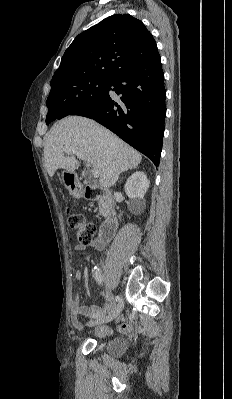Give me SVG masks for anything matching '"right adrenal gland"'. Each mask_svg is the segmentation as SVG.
I'll return each mask as SVG.
<instances>
[{
  "mask_svg": "<svg viewBox=\"0 0 232 399\" xmlns=\"http://www.w3.org/2000/svg\"><path fill=\"white\" fill-rule=\"evenodd\" d=\"M131 170H132V168H131ZM133 170H136V168H133Z\"/></svg>",
  "mask_w": 232,
  "mask_h": 399,
  "instance_id": "obj_1",
  "label": "right adrenal gland"
}]
</instances>
